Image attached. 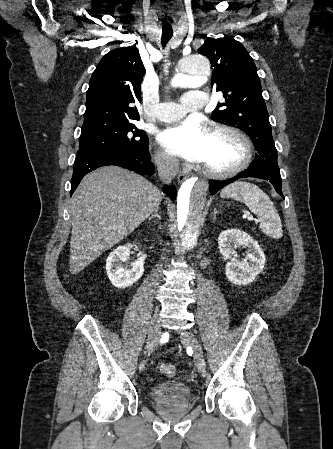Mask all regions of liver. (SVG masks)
Instances as JSON below:
<instances>
[{"label":"liver","instance_id":"6515ba94","mask_svg":"<svg viewBox=\"0 0 333 449\" xmlns=\"http://www.w3.org/2000/svg\"><path fill=\"white\" fill-rule=\"evenodd\" d=\"M161 200L148 180L121 167L105 166L87 174L71 200L70 268L83 270L133 232Z\"/></svg>","mask_w":333,"mask_h":449}]
</instances>
